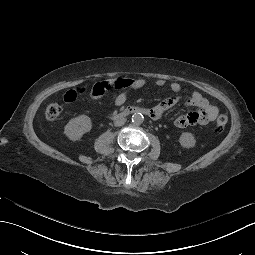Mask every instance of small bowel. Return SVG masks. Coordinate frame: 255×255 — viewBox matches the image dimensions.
Returning a JSON list of instances; mask_svg holds the SVG:
<instances>
[{"label": "small bowel", "instance_id": "obj_1", "mask_svg": "<svg viewBox=\"0 0 255 255\" xmlns=\"http://www.w3.org/2000/svg\"><path fill=\"white\" fill-rule=\"evenodd\" d=\"M154 84L159 87L168 85L172 92L178 93L181 91V85L178 82L167 83L164 79H157ZM147 85V80L143 78H116L109 81H100L95 83L92 87H77L69 89L64 95V101L67 103L73 102L77 97L88 95L90 98L97 100L102 98L110 89H117L121 92L116 96L114 103L116 106H122L128 97L129 92L141 89ZM179 101L177 95L170 96L158 105L152 108L154 118L160 117L164 112L174 107ZM186 104L195 106L197 111L189 112L176 118L175 126L184 128L189 125H206L214 121L219 113V108L215 104L209 102L200 92L195 91L187 98Z\"/></svg>", "mask_w": 255, "mask_h": 255}]
</instances>
